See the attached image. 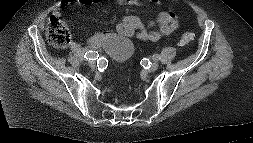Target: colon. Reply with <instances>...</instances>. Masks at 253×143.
Segmentation results:
<instances>
[{"mask_svg":"<svg viewBox=\"0 0 253 143\" xmlns=\"http://www.w3.org/2000/svg\"><path fill=\"white\" fill-rule=\"evenodd\" d=\"M46 36L48 41L58 49L66 48L71 42V33L68 26L55 15L48 19ZM192 39L193 35L191 33H185L180 37L179 44L186 46Z\"/></svg>","mask_w":253,"mask_h":143,"instance_id":"1","label":"colon"}]
</instances>
